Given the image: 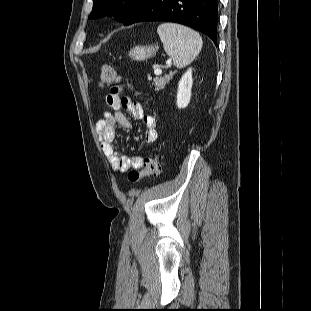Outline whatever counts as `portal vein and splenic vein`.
Listing matches in <instances>:
<instances>
[{"instance_id":"portal-vein-and-splenic-vein-1","label":"portal vein and splenic vein","mask_w":311,"mask_h":311,"mask_svg":"<svg viewBox=\"0 0 311 311\" xmlns=\"http://www.w3.org/2000/svg\"><path fill=\"white\" fill-rule=\"evenodd\" d=\"M155 75H161L162 74V70L160 68H156L154 70Z\"/></svg>"}]
</instances>
